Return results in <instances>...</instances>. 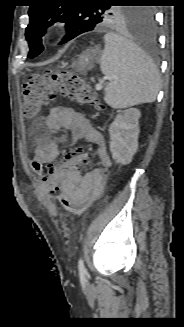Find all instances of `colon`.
I'll use <instances>...</instances> for the list:
<instances>
[{
    "label": "colon",
    "mask_w": 184,
    "mask_h": 327,
    "mask_svg": "<svg viewBox=\"0 0 184 327\" xmlns=\"http://www.w3.org/2000/svg\"><path fill=\"white\" fill-rule=\"evenodd\" d=\"M60 94L83 105H97L96 95L82 77L68 71L47 72L32 76L23 88V114L27 118L37 116ZM84 153L81 148L72 151ZM87 154V153H84ZM88 155V154H87ZM68 212L79 215L90 205L86 200H75L65 194L56 193L50 197Z\"/></svg>",
    "instance_id": "1"
}]
</instances>
